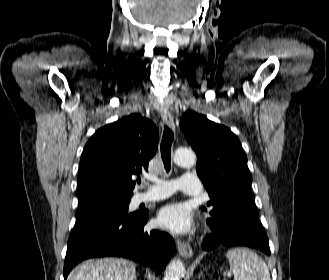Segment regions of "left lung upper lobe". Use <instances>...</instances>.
Returning <instances> with one entry per match:
<instances>
[{
  "label": "left lung upper lobe",
  "mask_w": 329,
  "mask_h": 280,
  "mask_svg": "<svg viewBox=\"0 0 329 280\" xmlns=\"http://www.w3.org/2000/svg\"><path fill=\"white\" fill-rule=\"evenodd\" d=\"M181 129L197 154V173L212 205L207 223L215 234L238 201L251 197L252 177L240 141L223 125L194 111L184 113Z\"/></svg>",
  "instance_id": "1"
}]
</instances>
